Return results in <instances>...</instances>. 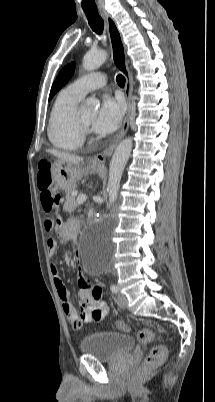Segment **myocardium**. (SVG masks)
<instances>
[{"instance_id":"obj_1","label":"myocardium","mask_w":215,"mask_h":402,"mask_svg":"<svg viewBox=\"0 0 215 402\" xmlns=\"http://www.w3.org/2000/svg\"><path fill=\"white\" fill-rule=\"evenodd\" d=\"M76 122L83 134H88L90 132V128L88 125L84 124L81 120L80 114L77 112L76 114Z\"/></svg>"}]
</instances>
